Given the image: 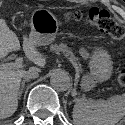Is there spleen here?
<instances>
[{"label": "spleen", "instance_id": "3e777b00", "mask_svg": "<svg viewBox=\"0 0 125 125\" xmlns=\"http://www.w3.org/2000/svg\"><path fill=\"white\" fill-rule=\"evenodd\" d=\"M125 115V94L107 100L78 98L73 108L74 125H115Z\"/></svg>", "mask_w": 125, "mask_h": 125}]
</instances>
